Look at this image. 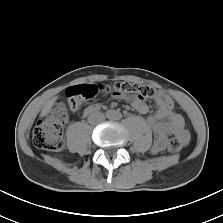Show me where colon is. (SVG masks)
<instances>
[{
  "label": "colon",
  "mask_w": 223,
  "mask_h": 223,
  "mask_svg": "<svg viewBox=\"0 0 223 223\" xmlns=\"http://www.w3.org/2000/svg\"><path fill=\"white\" fill-rule=\"evenodd\" d=\"M99 92H107L114 96L135 95L140 100L159 98L167 106L168 110L176 108L177 103L167 91H159L149 85H142L132 82H116L110 86L97 84H82L71 86L67 89L66 95L69 106L72 110L81 108L85 101L91 100ZM68 121V112L64 104H57L42 119H40L32 132L34 145L43 150L59 152L64 148L65 140L63 136V126ZM182 148V142L177 137H172L168 141V150L177 153Z\"/></svg>",
  "instance_id": "obj_1"
}]
</instances>
